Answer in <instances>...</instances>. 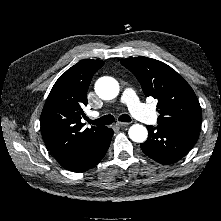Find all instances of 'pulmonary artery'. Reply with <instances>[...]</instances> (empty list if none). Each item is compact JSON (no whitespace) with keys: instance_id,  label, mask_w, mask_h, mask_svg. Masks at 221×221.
Masks as SVG:
<instances>
[{"instance_id":"obj_1","label":"pulmonary artery","mask_w":221,"mask_h":221,"mask_svg":"<svg viewBox=\"0 0 221 221\" xmlns=\"http://www.w3.org/2000/svg\"><path fill=\"white\" fill-rule=\"evenodd\" d=\"M122 103L126 104L132 115L140 121L147 124H154L156 122V114L143 103H141L131 88H126L121 96ZM98 112H92L91 117H97Z\"/></svg>"}]
</instances>
